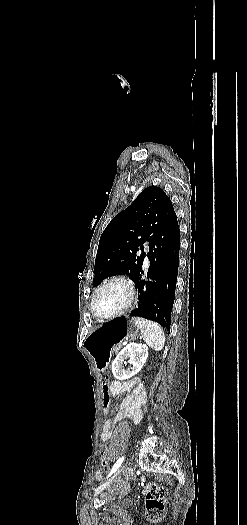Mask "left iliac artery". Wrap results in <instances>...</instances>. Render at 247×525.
<instances>
[{
  "mask_svg": "<svg viewBox=\"0 0 247 525\" xmlns=\"http://www.w3.org/2000/svg\"><path fill=\"white\" fill-rule=\"evenodd\" d=\"M124 461V456H122L121 458H119L116 463L113 465L110 473L108 474L107 478L110 477L115 471H117V469L121 466V464L123 463Z\"/></svg>",
  "mask_w": 247,
  "mask_h": 525,
  "instance_id": "obj_1",
  "label": "left iliac artery"
}]
</instances>
